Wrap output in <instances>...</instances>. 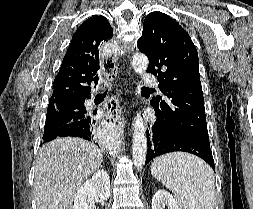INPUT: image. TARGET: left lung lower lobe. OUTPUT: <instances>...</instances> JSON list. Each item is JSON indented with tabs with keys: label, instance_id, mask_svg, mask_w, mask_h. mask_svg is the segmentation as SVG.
<instances>
[{
	"label": "left lung lower lobe",
	"instance_id": "obj_1",
	"mask_svg": "<svg viewBox=\"0 0 253 209\" xmlns=\"http://www.w3.org/2000/svg\"><path fill=\"white\" fill-rule=\"evenodd\" d=\"M151 131L153 133L151 140L147 135L148 149L145 165L157 156L169 152L183 151L202 158L215 171L210 145L174 132L159 120H156L154 124H152ZM147 133L149 134V131H147Z\"/></svg>",
	"mask_w": 253,
	"mask_h": 209
}]
</instances>
